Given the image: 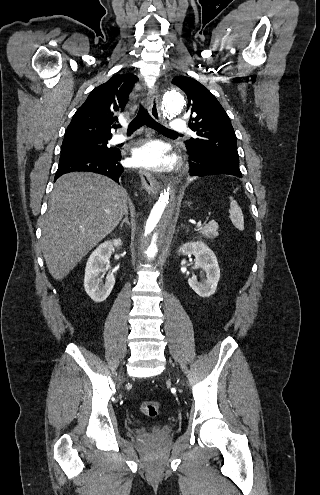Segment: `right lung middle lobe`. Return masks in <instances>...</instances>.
I'll return each instance as SVG.
<instances>
[{"instance_id": "obj_1", "label": "right lung middle lobe", "mask_w": 320, "mask_h": 495, "mask_svg": "<svg viewBox=\"0 0 320 495\" xmlns=\"http://www.w3.org/2000/svg\"><path fill=\"white\" fill-rule=\"evenodd\" d=\"M110 138H83L75 140L63 141L61 153L63 152H109L111 149L107 147V142Z\"/></svg>"}]
</instances>
